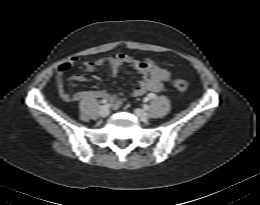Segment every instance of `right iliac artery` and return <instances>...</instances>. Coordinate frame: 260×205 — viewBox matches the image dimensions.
<instances>
[{
  "mask_svg": "<svg viewBox=\"0 0 260 205\" xmlns=\"http://www.w3.org/2000/svg\"><path fill=\"white\" fill-rule=\"evenodd\" d=\"M100 103H101V104H107V100H106V99H102V100L100 101Z\"/></svg>",
  "mask_w": 260,
  "mask_h": 205,
  "instance_id": "1",
  "label": "right iliac artery"
}]
</instances>
